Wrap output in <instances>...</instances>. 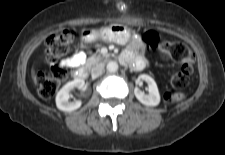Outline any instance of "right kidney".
I'll use <instances>...</instances> for the list:
<instances>
[{"label":"right kidney","mask_w":225,"mask_h":155,"mask_svg":"<svg viewBox=\"0 0 225 155\" xmlns=\"http://www.w3.org/2000/svg\"><path fill=\"white\" fill-rule=\"evenodd\" d=\"M84 85L85 82L82 79H75L64 85L56 95L57 108L61 111L68 112L78 109L81 106L82 102L80 100L69 102L70 91L74 88L83 89Z\"/></svg>","instance_id":"ca27d5eb"}]
</instances>
